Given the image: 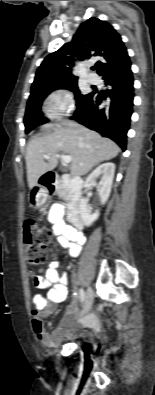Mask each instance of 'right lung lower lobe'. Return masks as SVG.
Listing matches in <instances>:
<instances>
[{
    "instance_id": "1",
    "label": "right lung lower lobe",
    "mask_w": 155,
    "mask_h": 395,
    "mask_svg": "<svg viewBox=\"0 0 155 395\" xmlns=\"http://www.w3.org/2000/svg\"><path fill=\"white\" fill-rule=\"evenodd\" d=\"M102 76L111 89L85 95L72 118L111 138L125 151L134 98L131 64L108 70ZM102 100L107 101L105 105H101Z\"/></svg>"
}]
</instances>
